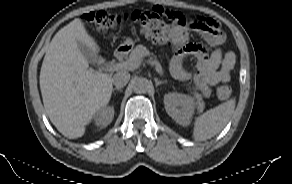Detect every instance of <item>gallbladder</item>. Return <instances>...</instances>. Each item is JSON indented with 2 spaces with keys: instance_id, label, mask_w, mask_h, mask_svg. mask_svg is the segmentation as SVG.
I'll return each mask as SVG.
<instances>
[{
  "instance_id": "gallbladder-1",
  "label": "gallbladder",
  "mask_w": 292,
  "mask_h": 184,
  "mask_svg": "<svg viewBox=\"0 0 292 184\" xmlns=\"http://www.w3.org/2000/svg\"><path fill=\"white\" fill-rule=\"evenodd\" d=\"M79 49L83 56L90 62H99L100 57L95 55L92 50H90L87 46H85L83 43L78 42Z\"/></svg>"
}]
</instances>
